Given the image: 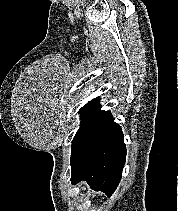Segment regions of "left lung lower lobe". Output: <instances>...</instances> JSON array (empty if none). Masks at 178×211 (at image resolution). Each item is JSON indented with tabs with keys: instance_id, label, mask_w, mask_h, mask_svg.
Returning a JSON list of instances; mask_svg holds the SVG:
<instances>
[{
	"instance_id": "1",
	"label": "left lung lower lobe",
	"mask_w": 178,
	"mask_h": 211,
	"mask_svg": "<svg viewBox=\"0 0 178 211\" xmlns=\"http://www.w3.org/2000/svg\"><path fill=\"white\" fill-rule=\"evenodd\" d=\"M125 158L121 128L105 111L71 154V182L85 180L91 189L111 196L120 182Z\"/></svg>"
}]
</instances>
